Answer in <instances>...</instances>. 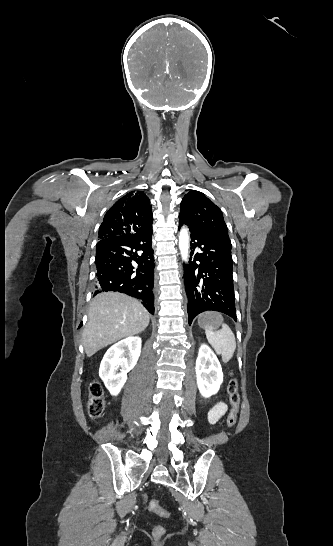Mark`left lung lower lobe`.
<instances>
[{"label":"left lung lower lobe","instance_id":"1","mask_svg":"<svg viewBox=\"0 0 333 546\" xmlns=\"http://www.w3.org/2000/svg\"><path fill=\"white\" fill-rule=\"evenodd\" d=\"M181 228H186L191 238V257L189 264H184L189 325L204 311L222 312L236 321L230 239L179 220Z\"/></svg>","mask_w":333,"mask_h":546}]
</instances>
